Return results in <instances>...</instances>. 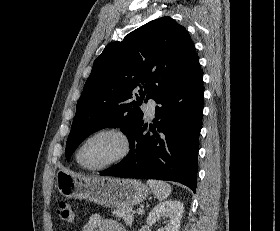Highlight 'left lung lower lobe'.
I'll use <instances>...</instances> for the list:
<instances>
[{"label": "left lung lower lobe", "mask_w": 280, "mask_h": 231, "mask_svg": "<svg viewBox=\"0 0 280 231\" xmlns=\"http://www.w3.org/2000/svg\"><path fill=\"white\" fill-rule=\"evenodd\" d=\"M201 68L155 99L153 134L143 122L130 136V152L100 173L123 178L159 179L182 183L196 192L199 133L203 116Z\"/></svg>", "instance_id": "0a47b994"}]
</instances>
